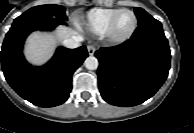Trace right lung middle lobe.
I'll return each instance as SVG.
<instances>
[{
    "instance_id": "dd1d6c3e",
    "label": "right lung middle lobe",
    "mask_w": 194,
    "mask_h": 133,
    "mask_svg": "<svg viewBox=\"0 0 194 133\" xmlns=\"http://www.w3.org/2000/svg\"><path fill=\"white\" fill-rule=\"evenodd\" d=\"M58 18L67 20L65 8L59 5H41L32 7L14 20V23L23 20H38Z\"/></svg>"
}]
</instances>
